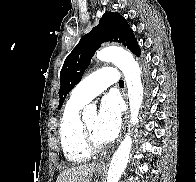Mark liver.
Here are the masks:
<instances>
[{"instance_id": "obj_1", "label": "liver", "mask_w": 196, "mask_h": 182, "mask_svg": "<svg viewBox=\"0 0 196 182\" xmlns=\"http://www.w3.org/2000/svg\"><path fill=\"white\" fill-rule=\"evenodd\" d=\"M95 163L78 165L63 170L56 182H90L95 171Z\"/></svg>"}]
</instances>
